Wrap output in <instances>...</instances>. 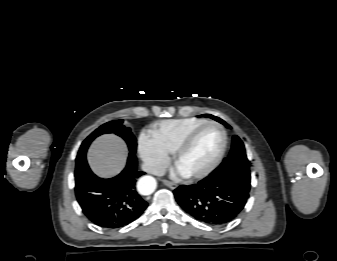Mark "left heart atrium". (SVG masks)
Here are the masks:
<instances>
[{"mask_svg":"<svg viewBox=\"0 0 337 261\" xmlns=\"http://www.w3.org/2000/svg\"><path fill=\"white\" fill-rule=\"evenodd\" d=\"M178 173L181 174V175H184L183 173H181L179 170H178Z\"/></svg>","mask_w":337,"mask_h":261,"instance_id":"obj_1","label":"left heart atrium"}]
</instances>
